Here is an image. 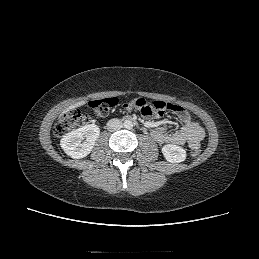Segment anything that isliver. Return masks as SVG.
I'll list each match as a JSON object with an SVG mask.
<instances>
[{"label": "liver", "instance_id": "6515ba94", "mask_svg": "<svg viewBox=\"0 0 259 259\" xmlns=\"http://www.w3.org/2000/svg\"><path fill=\"white\" fill-rule=\"evenodd\" d=\"M85 103H86L85 101H80V102H77V103H75V104L69 106L68 108H66V109L62 112V114L60 115V117H61L63 114H65L67 111H70V110H72V109H74V108L80 107V106L84 105Z\"/></svg>", "mask_w": 259, "mask_h": 259}]
</instances>
